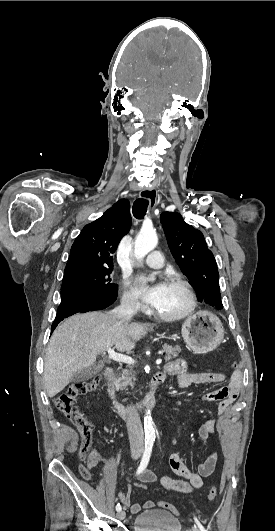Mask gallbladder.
Listing matches in <instances>:
<instances>
[{
  "label": "gallbladder",
  "mask_w": 275,
  "mask_h": 531,
  "mask_svg": "<svg viewBox=\"0 0 275 531\" xmlns=\"http://www.w3.org/2000/svg\"><path fill=\"white\" fill-rule=\"evenodd\" d=\"M103 367V361H99L97 365H92V367H87V369H82V371L74 373L71 381L72 383H83V381H88V379H91V377H94V375H98V373L102 371Z\"/></svg>",
  "instance_id": "obj_1"
}]
</instances>
